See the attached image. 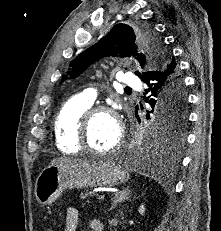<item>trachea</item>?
Returning <instances> with one entry per match:
<instances>
[{"label": "trachea", "mask_w": 221, "mask_h": 231, "mask_svg": "<svg viewBox=\"0 0 221 231\" xmlns=\"http://www.w3.org/2000/svg\"><path fill=\"white\" fill-rule=\"evenodd\" d=\"M127 90H131L130 88H126Z\"/></svg>", "instance_id": "trachea-1"}]
</instances>
